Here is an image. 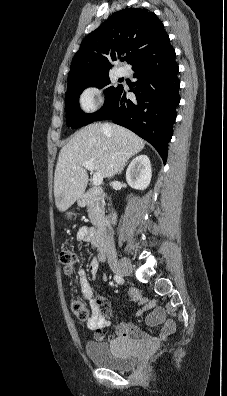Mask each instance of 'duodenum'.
<instances>
[{"label":"duodenum","instance_id":"1","mask_svg":"<svg viewBox=\"0 0 227 396\" xmlns=\"http://www.w3.org/2000/svg\"><path fill=\"white\" fill-rule=\"evenodd\" d=\"M105 198V193L100 187L90 188L86 193L80 196L78 203L80 206H85L93 200ZM116 215H111L110 221L101 224L93 233V241L99 249H104L106 245V231L109 223H115Z\"/></svg>","mask_w":227,"mask_h":396}]
</instances>
